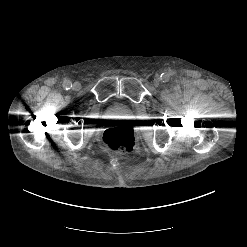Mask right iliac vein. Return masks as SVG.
Instances as JSON below:
<instances>
[{
    "instance_id": "63e3f726",
    "label": "right iliac vein",
    "mask_w": 247,
    "mask_h": 247,
    "mask_svg": "<svg viewBox=\"0 0 247 247\" xmlns=\"http://www.w3.org/2000/svg\"><path fill=\"white\" fill-rule=\"evenodd\" d=\"M80 88H81V84L79 82H75L73 84V89L74 90L78 91V90H80Z\"/></svg>"
}]
</instances>
